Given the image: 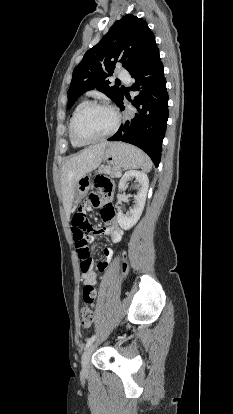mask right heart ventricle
Returning a JSON list of instances; mask_svg holds the SVG:
<instances>
[{
    "label": "right heart ventricle",
    "instance_id": "right-heart-ventricle-1",
    "mask_svg": "<svg viewBox=\"0 0 233 414\" xmlns=\"http://www.w3.org/2000/svg\"><path fill=\"white\" fill-rule=\"evenodd\" d=\"M87 102L86 101H81L76 107H75V109L73 110V112H72V114H71V117H70V119H69V124H68V131H69V138H70V142H71V144H72V146H74V147H81V146H83V145H80V144H77V143H75L72 139H71V136H70V126H71V122H72V119H73V117H74V115L76 114V112L84 105V104H86Z\"/></svg>",
    "mask_w": 233,
    "mask_h": 414
}]
</instances>
